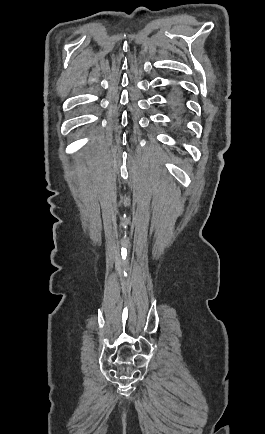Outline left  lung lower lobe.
I'll return each instance as SVG.
<instances>
[{
  "label": "left lung lower lobe",
  "mask_w": 265,
  "mask_h": 434,
  "mask_svg": "<svg viewBox=\"0 0 265 434\" xmlns=\"http://www.w3.org/2000/svg\"><path fill=\"white\" fill-rule=\"evenodd\" d=\"M173 128L179 134H186L185 131L187 130V128L185 125V121L182 118H178L175 120Z\"/></svg>",
  "instance_id": "obj_1"
}]
</instances>
